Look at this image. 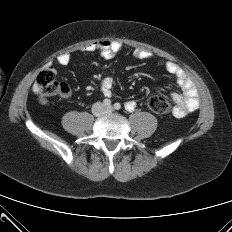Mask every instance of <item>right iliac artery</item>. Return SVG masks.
<instances>
[{
	"instance_id": "1",
	"label": "right iliac artery",
	"mask_w": 232,
	"mask_h": 232,
	"mask_svg": "<svg viewBox=\"0 0 232 232\" xmlns=\"http://www.w3.org/2000/svg\"><path fill=\"white\" fill-rule=\"evenodd\" d=\"M103 104H104V106H110L111 105L110 99H104Z\"/></svg>"
}]
</instances>
